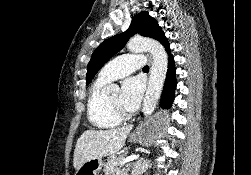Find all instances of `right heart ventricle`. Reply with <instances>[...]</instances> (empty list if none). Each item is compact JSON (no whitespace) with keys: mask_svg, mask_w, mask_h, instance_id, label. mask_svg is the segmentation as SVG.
<instances>
[{"mask_svg":"<svg viewBox=\"0 0 251 175\" xmlns=\"http://www.w3.org/2000/svg\"><path fill=\"white\" fill-rule=\"evenodd\" d=\"M106 84L107 82L97 79L89 90L86 103L88 121L98 129L113 128L118 124V117L110 111L108 99L104 95Z\"/></svg>","mask_w":251,"mask_h":175,"instance_id":"e07e8e85","label":"right heart ventricle"}]
</instances>
